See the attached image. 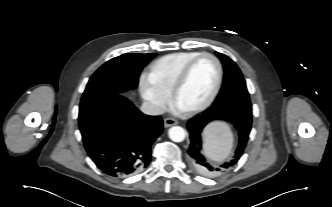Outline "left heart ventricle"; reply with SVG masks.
<instances>
[{
    "instance_id": "b2bd125f",
    "label": "left heart ventricle",
    "mask_w": 332,
    "mask_h": 207,
    "mask_svg": "<svg viewBox=\"0 0 332 207\" xmlns=\"http://www.w3.org/2000/svg\"><path fill=\"white\" fill-rule=\"evenodd\" d=\"M216 76V65L211 58L198 60L178 94L177 106L187 110L204 102L213 90Z\"/></svg>"
}]
</instances>
